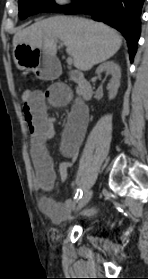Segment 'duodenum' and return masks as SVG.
<instances>
[{"label": "duodenum", "instance_id": "duodenum-1", "mask_svg": "<svg viewBox=\"0 0 148 279\" xmlns=\"http://www.w3.org/2000/svg\"><path fill=\"white\" fill-rule=\"evenodd\" d=\"M72 78L78 83L79 94L84 100H89L92 96L91 84L80 74L72 73Z\"/></svg>", "mask_w": 148, "mask_h": 279}]
</instances>
